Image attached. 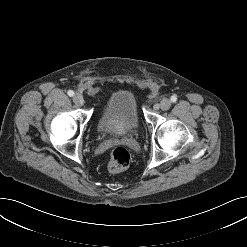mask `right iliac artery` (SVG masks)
<instances>
[{
	"label": "right iliac artery",
	"instance_id": "82829eb1",
	"mask_svg": "<svg viewBox=\"0 0 247 247\" xmlns=\"http://www.w3.org/2000/svg\"><path fill=\"white\" fill-rule=\"evenodd\" d=\"M67 94H68L70 97L74 96V92H73L72 90H69V91L67 92Z\"/></svg>",
	"mask_w": 247,
	"mask_h": 247
}]
</instances>
